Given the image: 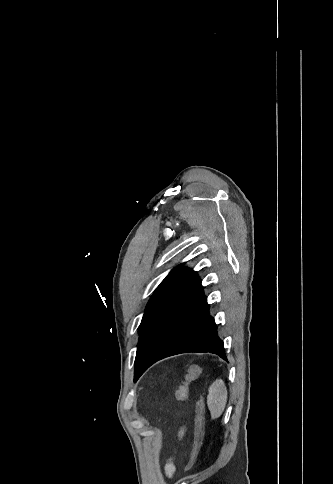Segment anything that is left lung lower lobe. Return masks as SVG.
I'll return each mask as SVG.
<instances>
[{
  "label": "left lung lower lobe",
  "mask_w": 333,
  "mask_h": 484,
  "mask_svg": "<svg viewBox=\"0 0 333 484\" xmlns=\"http://www.w3.org/2000/svg\"><path fill=\"white\" fill-rule=\"evenodd\" d=\"M186 352H210L227 360L223 341L196 272L180 270L147 315L138 341L135 381L153 363Z\"/></svg>",
  "instance_id": "obj_1"
}]
</instances>
